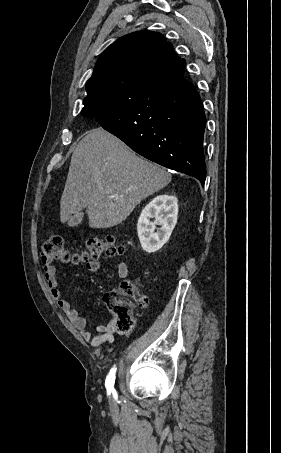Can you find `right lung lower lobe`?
<instances>
[{
	"instance_id": "right-lung-lower-lobe-1",
	"label": "right lung lower lobe",
	"mask_w": 281,
	"mask_h": 453,
	"mask_svg": "<svg viewBox=\"0 0 281 453\" xmlns=\"http://www.w3.org/2000/svg\"><path fill=\"white\" fill-rule=\"evenodd\" d=\"M143 157L197 178H206L203 137L206 117L196 88L184 77L161 83L129 101L81 113Z\"/></svg>"
}]
</instances>
